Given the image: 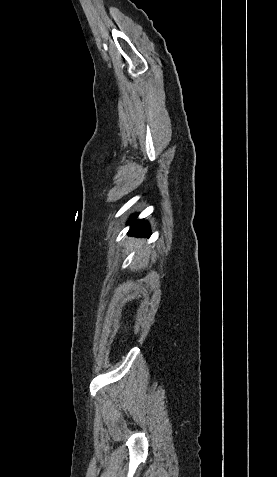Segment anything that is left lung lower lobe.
Returning <instances> with one entry per match:
<instances>
[{"instance_id":"0a47b994","label":"left lung lower lobe","mask_w":277,"mask_h":477,"mask_svg":"<svg viewBox=\"0 0 277 477\" xmlns=\"http://www.w3.org/2000/svg\"><path fill=\"white\" fill-rule=\"evenodd\" d=\"M136 216H133L129 221L128 224L131 225L129 230V235L132 236H139V237H149L150 236V229L149 225L144 220H136Z\"/></svg>"}]
</instances>
